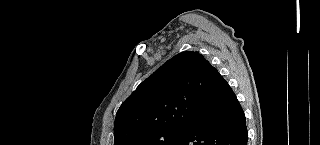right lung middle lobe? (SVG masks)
Here are the masks:
<instances>
[{
  "mask_svg": "<svg viewBox=\"0 0 320 145\" xmlns=\"http://www.w3.org/2000/svg\"><path fill=\"white\" fill-rule=\"evenodd\" d=\"M184 131V128H169L152 132L131 145H171Z\"/></svg>",
  "mask_w": 320,
  "mask_h": 145,
  "instance_id": "obj_1",
  "label": "right lung middle lobe"
}]
</instances>
